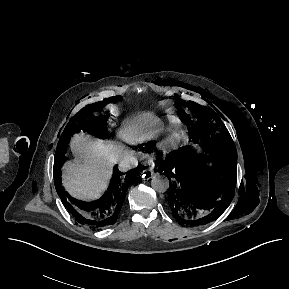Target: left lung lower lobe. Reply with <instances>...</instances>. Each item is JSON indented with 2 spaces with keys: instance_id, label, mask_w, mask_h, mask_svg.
<instances>
[{
  "instance_id": "left-lung-lower-lobe-1",
  "label": "left lung lower lobe",
  "mask_w": 289,
  "mask_h": 289,
  "mask_svg": "<svg viewBox=\"0 0 289 289\" xmlns=\"http://www.w3.org/2000/svg\"><path fill=\"white\" fill-rule=\"evenodd\" d=\"M206 156L186 148L168 155L165 162L164 175L168 177L171 189L166 199L173 217L182 226L191 227L210 223L217 219L232 201L237 164L233 162L227 168L219 167L212 149V167L216 173L223 174L224 178L217 191L208 194L203 191L194 175L198 159Z\"/></svg>"
}]
</instances>
